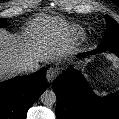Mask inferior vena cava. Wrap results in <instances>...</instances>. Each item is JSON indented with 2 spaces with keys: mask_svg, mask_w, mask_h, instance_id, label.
Here are the masks:
<instances>
[{
  "mask_svg": "<svg viewBox=\"0 0 119 119\" xmlns=\"http://www.w3.org/2000/svg\"><path fill=\"white\" fill-rule=\"evenodd\" d=\"M38 68L39 67L36 64H27V65L20 66L19 71L22 74H30L35 72Z\"/></svg>",
  "mask_w": 119,
  "mask_h": 119,
  "instance_id": "obj_1",
  "label": "inferior vena cava"
}]
</instances>
